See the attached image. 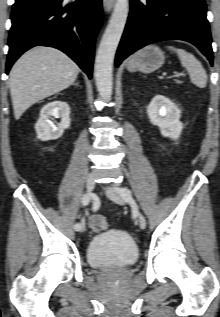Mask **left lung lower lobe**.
<instances>
[{"label":"left lung lower lobe","mask_w":220,"mask_h":317,"mask_svg":"<svg viewBox=\"0 0 220 317\" xmlns=\"http://www.w3.org/2000/svg\"><path fill=\"white\" fill-rule=\"evenodd\" d=\"M204 0H131L128 22L115 65L141 47L161 40L190 42L213 64L211 34Z\"/></svg>","instance_id":"left-lung-lower-lobe-1"}]
</instances>
